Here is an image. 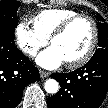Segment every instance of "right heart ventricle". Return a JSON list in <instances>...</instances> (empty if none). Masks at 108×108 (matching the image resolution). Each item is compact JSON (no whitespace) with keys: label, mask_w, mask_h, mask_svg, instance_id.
Listing matches in <instances>:
<instances>
[{"label":"right heart ventricle","mask_w":108,"mask_h":108,"mask_svg":"<svg viewBox=\"0 0 108 108\" xmlns=\"http://www.w3.org/2000/svg\"><path fill=\"white\" fill-rule=\"evenodd\" d=\"M78 14L66 8H50L38 12L32 17L34 28L49 39L54 30L67 18Z\"/></svg>","instance_id":"e07e8e85"}]
</instances>
